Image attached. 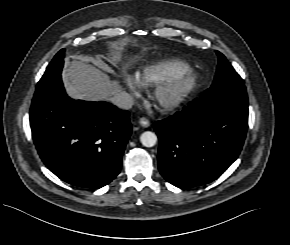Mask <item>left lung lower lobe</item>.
<instances>
[{
	"label": "left lung lower lobe",
	"instance_id": "0a47b994",
	"mask_svg": "<svg viewBox=\"0 0 290 245\" xmlns=\"http://www.w3.org/2000/svg\"><path fill=\"white\" fill-rule=\"evenodd\" d=\"M247 127L244 84L207 89L182 111L154 124L160 173L179 188L212 182L237 159Z\"/></svg>",
	"mask_w": 290,
	"mask_h": 245
}]
</instances>
